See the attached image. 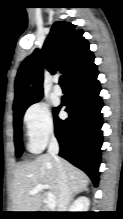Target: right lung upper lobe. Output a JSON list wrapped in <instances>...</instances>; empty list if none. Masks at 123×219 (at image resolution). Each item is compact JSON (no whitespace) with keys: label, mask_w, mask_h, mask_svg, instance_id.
I'll list each match as a JSON object with an SVG mask.
<instances>
[{"label":"right lung upper lobe","mask_w":123,"mask_h":219,"mask_svg":"<svg viewBox=\"0 0 123 219\" xmlns=\"http://www.w3.org/2000/svg\"><path fill=\"white\" fill-rule=\"evenodd\" d=\"M83 33L69 22L53 24L43 48L34 50L19 68L13 109L43 96L44 67L51 73L60 70L68 79L94 58Z\"/></svg>","instance_id":"cb5924a9"}]
</instances>
